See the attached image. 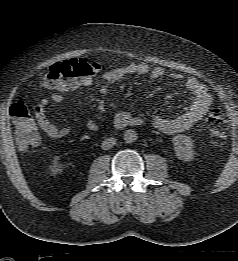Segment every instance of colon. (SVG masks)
Instances as JSON below:
<instances>
[{
    "instance_id": "colon-1",
    "label": "colon",
    "mask_w": 238,
    "mask_h": 261,
    "mask_svg": "<svg viewBox=\"0 0 238 261\" xmlns=\"http://www.w3.org/2000/svg\"><path fill=\"white\" fill-rule=\"evenodd\" d=\"M100 66L86 59H70L55 63L44 74L43 84L55 90H69L83 78L94 76ZM13 120L15 139L18 147L25 151L40 141V136L33 116L24 102H17L10 108ZM207 123L212 137L217 143H222L227 137L228 120L219 109H212L207 117Z\"/></svg>"
}]
</instances>
